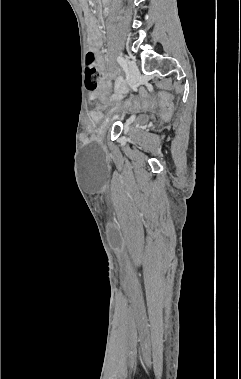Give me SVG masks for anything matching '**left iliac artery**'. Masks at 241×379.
<instances>
[{
    "label": "left iliac artery",
    "instance_id": "44dca946",
    "mask_svg": "<svg viewBox=\"0 0 241 379\" xmlns=\"http://www.w3.org/2000/svg\"><path fill=\"white\" fill-rule=\"evenodd\" d=\"M117 61L118 63L120 64V66L126 70L127 69V64H126V61L124 59V57H122L121 55L117 56Z\"/></svg>",
    "mask_w": 241,
    "mask_h": 379
}]
</instances>
